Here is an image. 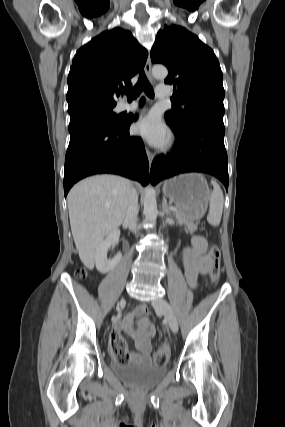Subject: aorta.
Listing matches in <instances>:
<instances>
[{
  "instance_id": "762f6f07",
  "label": "aorta",
  "mask_w": 285,
  "mask_h": 427,
  "mask_svg": "<svg viewBox=\"0 0 285 427\" xmlns=\"http://www.w3.org/2000/svg\"><path fill=\"white\" fill-rule=\"evenodd\" d=\"M152 75L157 79H164L168 75V70L163 65H155L152 68ZM144 214L146 219L155 222L158 215L155 190L148 186L144 196Z\"/></svg>"
}]
</instances>
